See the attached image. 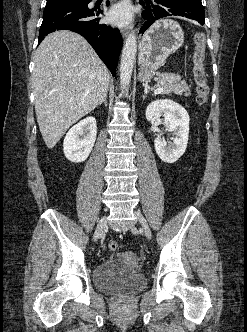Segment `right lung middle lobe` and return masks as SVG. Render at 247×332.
Segmentation results:
<instances>
[{"mask_svg":"<svg viewBox=\"0 0 247 332\" xmlns=\"http://www.w3.org/2000/svg\"><path fill=\"white\" fill-rule=\"evenodd\" d=\"M59 1H67V0H57V1H51V2L47 1V4L54 3V2H59ZM69 1H85V0H69Z\"/></svg>","mask_w":247,"mask_h":332,"instance_id":"dd1d6c3e","label":"right lung middle lobe"}]
</instances>
